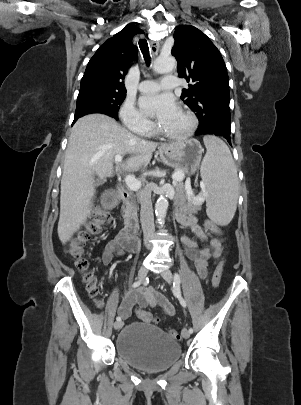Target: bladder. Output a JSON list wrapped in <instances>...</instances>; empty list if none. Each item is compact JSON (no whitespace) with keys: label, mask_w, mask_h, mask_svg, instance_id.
<instances>
[{"label":"bladder","mask_w":301,"mask_h":405,"mask_svg":"<svg viewBox=\"0 0 301 405\" xmlns=\"http://www.w3.org/2000/svg\"><path fill=\"white\" fill-rule=\"evenodd\" d=\"M117 355L146 372L167 370L180 357L181 347L159 327L143 322L126 325L115 340Z\"/></svg>","instance_id":"1"}]
</instances>
